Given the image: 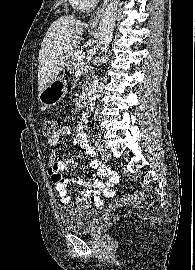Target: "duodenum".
<instances>
[{
  "label": "duodenum",
  "mask_w": 195,
  "mask_h": 270,
  "mask_svg": "<svg viewBox=\"0 0 195 270\" xmlns=\"http://www.w3.org/2000/svg\"><path fill=\"white\" fill-rule=\"evenodd\" d=\"M88 98H89V87H87L81 95L80 98L81 106H86L88 104Z\"/></svg>",
  "instance_id": "duodenum-1"
}]
</instances>
